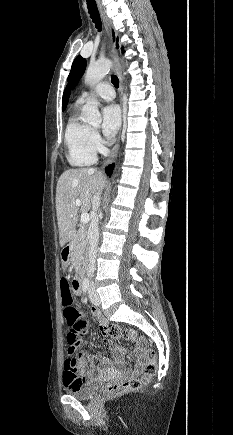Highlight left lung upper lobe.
<instances>
[{
  "instance_id": "left-lung-upper-lobe-1",
  "label": "left lung upper lobe",
  "mask_w": 233,
  "mask_h": 435,
  "mask_svg": "<svg viewBox=\"0 0 233 435\" xmlns=\"http://www.w3.org/2000/svg\"><path fill=\"white\" fill-rule=\"evenodd\" d=\"M113 37H115L113 33ZM118 40V39H117ZM118 46V43H116ZM86 68V59L82 58L80 55L76 57L74 60L70 74L68 76V86L66 87L64 94H63V100H62V108L63 110L67 106L68 97L70 94L71 89L78 83L80 80L82 74L84 73Z\"/></svg>"
}]
</instances>
